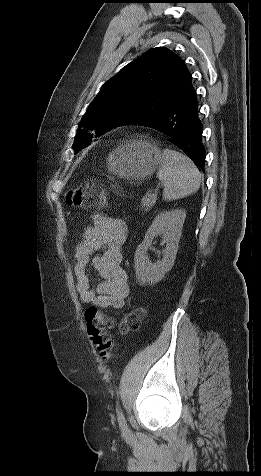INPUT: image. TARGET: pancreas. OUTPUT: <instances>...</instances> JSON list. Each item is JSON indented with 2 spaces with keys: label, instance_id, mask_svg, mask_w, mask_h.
Here are the masks:
<instances>
[{
  "label": "pancreas",
  "instance_id": "pancreas-1",
  "mask_svg": "<svg viewBox=\"0 0 261 476\" xmlns=\"http://www.w3.org/2000/svg\"><path fill=\"white\" fill-rule=\"evenodd\" d=\"M155 204V198L153 197L152 194L147 193L145 196H143L141 200V207L144 209V211H149Z\"/></svg>",
  "mask_w": 261,
  "mask_h": 476
}]
</instances>
